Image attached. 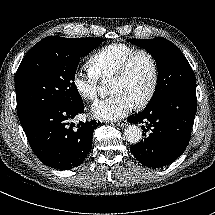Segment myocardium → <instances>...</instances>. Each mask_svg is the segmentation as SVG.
I'll return each instance as SVG.
<instances>
[{"instance_id": "f54148a6", "label": "myocardium", "mask_w": 215, "mask_h": 215, "mask_svg": "<svg viewBox=\"0 0 215 215\" xmlns=\"http://www.w3.org/2000/svg\"><path fill=\"white\" fill-rule=\"evenodd\" d=\"M138 56H145L148 59L151 66V80H150L148 90L144 95V97L139 102L134 104L135 109L140 110L145 108L150 103L158 86L159 68H158V63L155 56L148 50L135 49L120 61L115 71L111 75V78L123 77L127 73L134 59L137 58Z\"/></svg>"}]
</instances>
